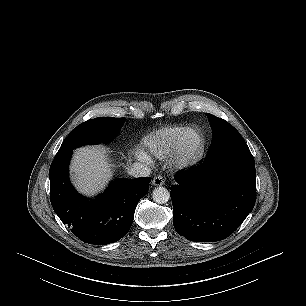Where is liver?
Here are the masks:
<instances>
[{
	"label": "liver",
	"mask_w": 306,
	"mask_h": 306,
	"mask_svg": "<svg viewBox=\"0 0 306 306\" xmlns=\"http://www.w3.org/2000/svg\"><path fill=\"white\" fill-rule=\"evenodd\" d=\"M71 172L77 189L87 195H94L102 190L113 175L106 149L100 146L77 149L71 164Z\"/></svg>",
	"instance_id": "1"
}]
</instances>
